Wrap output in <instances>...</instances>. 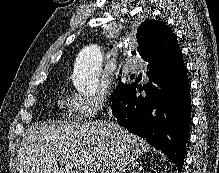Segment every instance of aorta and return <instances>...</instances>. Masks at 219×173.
<instances>
[{
	"label": "aorta",
	"mask_w": 219,
	"mask_h": 173,
	"mask_svg": "<svg viewBox=\"0 0 219 173\" xmlns=\"http://www.w3.org/2000/svg\"><path fill=\"white\" fill-rule=\"evenodd\" d=\"M103 56L97 45H89L81 50L77 59L75 86L86 95H93L98 89Z\"/></svg>",
	"instance_id": "762f6f07"
}]
</instances>
